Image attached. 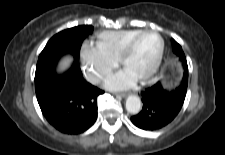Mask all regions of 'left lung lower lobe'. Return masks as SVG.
I'll list each match as a JSON object with an SVG mask.
<instances>
[{"label":"left lung lower lobe","mask_w":225,"mask_h":155,"mask_svg":"<svg viewBox=\"0 0 225 155\" xmlns=\"http://www.w3.org/2000/svg\"><path fill=\"white\" fill-rule=\"evenodd\" d=\"M188 82H181L175 89L166 90L160 82L141 92L142 111L131 117L132 123L143 130H158L169 124L184 103Z\"/></svg>","instance_id":"left-lung-lower-lobe-1"}]
</instances>
